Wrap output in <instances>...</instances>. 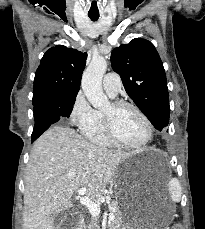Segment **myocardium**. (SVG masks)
<instances>
[{
	"label": "myocardium",
	"instance_id": "1",
	"mask_svg": "<svg viewBox=\"0 0 205 229\" xmlns=\"http://www.w3.org/2000/svg\"><path fill=\"white\" fill-rule=\"evenodd\" d=\"M110 105L113 111H117L125 107L133 109L143 120L146 127V136L141 142L137 144L124 143L116 136L115 129H114L113 113H107L103 111L102 116H103L104 132L111 145L120 148H125V149H140L145 147L151 141L153 136V128L147 115L137 105L128 101L115 100L112 101Z\"/></svg>",
	"mask_w": 205,
	"mask_h": 229
}]
</instances>
